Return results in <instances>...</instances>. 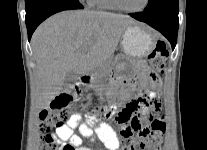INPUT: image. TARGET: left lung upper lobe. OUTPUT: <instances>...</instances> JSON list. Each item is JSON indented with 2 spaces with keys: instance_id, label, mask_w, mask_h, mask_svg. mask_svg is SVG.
Listing matches in <instances>:
<instances>
[{
  "instance_id": "obj_1",
  "label": "left lung upper lobe",
  "mask_w": 207,
  "mask_h": 150,
  "mask_svg": "<svg viewBox=\"0 0 207 150\" xmlns=\"http://www.w3.org/2000/svg\"><path fill=\"white\" fill-rule=\"evenodd\" d=\"M165 1L167 0H148V5L145 8V11L153 10L159 5H161L162 3H164Z\"/></svg>"
}]
</instances>
